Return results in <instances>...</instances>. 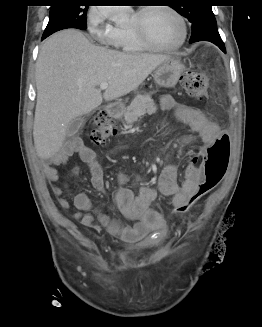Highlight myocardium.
<instances>
[{"instance_id": "myocardium-1", "label": "myocardium", "mask_w": 262, "mask_h": 327, "mask_svg": "<svg viewBox=\"0 0 262 327\" xmlns=\"http://www.w3.org/2000/svg\"><path fill=\"white\" fill-rule=\"evenodd\" d=\"M165 9L172 13L180 22L182 28V34L180 40L173 44V45H160L154 42L148 33L145 31L142 23V18L146 14V12L153 10V9ZM136 22L134 25L129 26L130 30L135 34L138 40L148 49L155 50V51H173L177 50L184 45L188 37V27L185 18L183 15L173 6L167 4L161 5H150L141 7L135 12Z\"/></svg>"}]
</instances>
